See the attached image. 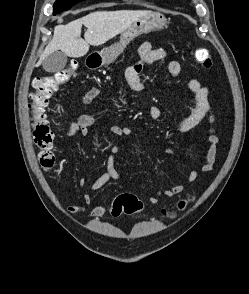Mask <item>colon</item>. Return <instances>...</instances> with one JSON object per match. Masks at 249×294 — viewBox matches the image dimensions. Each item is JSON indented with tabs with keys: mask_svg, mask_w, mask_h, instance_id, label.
<instances>
[{
	"mask_svg": "<svg viewBox=\"0 0 249 294\" xmlns=\"http://www.w3.org/2000/svg\"><path fill=\"white\" fill-rule=\"evenodd\" d=\"M195 61L204 68L212 67L210 53L201 48L192 50ZM77 68V62H71L68 68L59 70L51 75L36 77L33 81L34 91L31 93L30 114L34 144L39 150L40 165L44 170H50L55 163L53 153L55 134L50 126L46 113L49 99L57 89L70 81ZM186 200L180 201L178 208L183 210ZM143 203L133 194H120L115 197L110 207V214L114 217L121 215H136L142 212ZM167 215L172 213L167 212Z\"/></svg>",
	"mask_w": 249,
	"mask_h": 294,
	"instance_id": "5ec220e1",
	"label": "colon"
}]
</instances>
